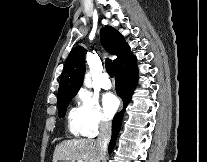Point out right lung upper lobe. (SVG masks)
Here are the masks:
<instances>
[{
  "instance_id": "right-lung-upper-lobe-1",
  "label": "right lung upper lobe",
  "mask_w": 207,
  "mask_h": 162,
  "mask_svg": "<svg viewBox=\"0 0 207 162\" xmlns=\"http://www.w3.org/2000/svg\"><path fill=\"white\" fill-rule=\"evenodd\" d=\"M103 47L112 55H116L114 69H118L134 58L123 36L113 27L106 26L100 31ZM85 73L84 49L73 48L65 62L61 75L58 99L74 96L80 89Z\"/></svg>"
}]
</instances>
